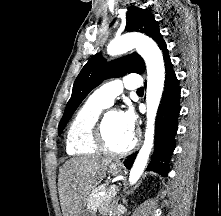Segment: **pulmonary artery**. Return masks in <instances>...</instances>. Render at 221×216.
<instances>
[{
    "label": "pulmonary artery",
    "mask_w": 221,
    "mask_h": 216,
    "mask_svg": "<svg viewBox=\"0 0 221 216\" xmlns=\"http://www.w3.org/2000/svg\"><path fill=\"white\" fill-rule=\"evenodd\" d=\"M141 84L142 80L139 76L127 75L122 79H115L103 84L92 93L91 98L109 106L125 88L135 90L140 88Z\"/></svg>",
    "instance_id": "1"
}]
</instances>
